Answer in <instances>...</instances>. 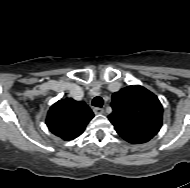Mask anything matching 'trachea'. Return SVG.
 Listing matches in <instances>:
<instances>
[{"mask_svg":"<svg viewBox=\"0 0 190 188\" xmlns=\"http://www.w3.org/2000/svg\"><path fill=\"white\" fill-rule=\"evenodd\" d=\"M92 105L95 107H102L103 105V99L100 96H96L93 100H92Z\"/></svg>","mask_w":190,"mask_h":188,"instance_id":"trachea-1","label":"trachea"}]
</instances>
